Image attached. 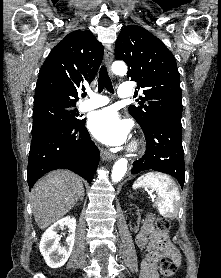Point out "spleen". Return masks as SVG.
I'll return each instance as SVG.
<instances>
[{
    "label": "spleen",
    "instance_id": "spleen-1",
    "mask_svg": "<svg viewBox=\"0 0 221 278\" xmlns=\"http://www.w3.org/2000/svg\"><path fill=\"white\" fill-rule=\"evenodd\" d=\"M147 187L156 192L158 201L156 206L159 213L166 218L177 216L176 203L179 200V190L174 181L167 175L148 172L137 179L133 188Z\"/></svg>",
    "mask_w": 221,
    "mask_h": 278
}]
</instances>
